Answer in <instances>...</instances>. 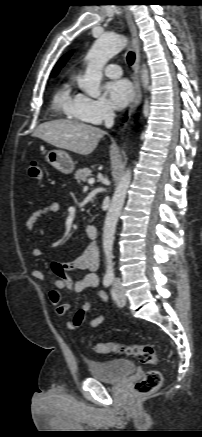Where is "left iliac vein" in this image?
Returning <instances> with one entry per match:
<instances>
[{
  "instance_id": "obj_1",
  "label": "left iliac vein",
  "mask_w": 202,
  "mask_h": 437,
  "mask_svg": "<svg viewBox=\"0 0 202 437\" xmlns=\"http://www.w3.org/2000/svg\"><path fill=\"white\" fill-rule=\"evenodd\" d=\"M116 302H117V305L120 307H122L126 304V296L124 294V291L121 288H119L117 290Z\"/></svg>"
}]
</instances>
